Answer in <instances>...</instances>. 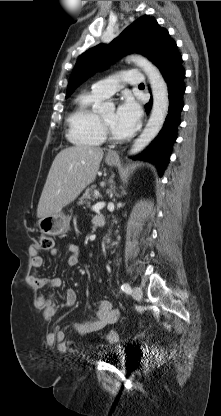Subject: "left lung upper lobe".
I'll use <instances>...</instances> for the list:
<instances>
[{"label": "left lung upper lobe", "mask_w": 221, "mask_h": 416, "mask_svg": "<svg viewBox=\"0 0 221 416\" xmlns=\"http://www.w3.org/2000/svg\"><path fill=\"white\" fill-rule=\"evenodd\" d=\"M167 32L157 21L146 16L136 20L110 44H99L84 52L77 60L67 87L68 97L76 87L99 69L105 68L127 53H141L151 58L161 37Z\"/></svg>", "instance_id": "obj_1"}]
</instances>
